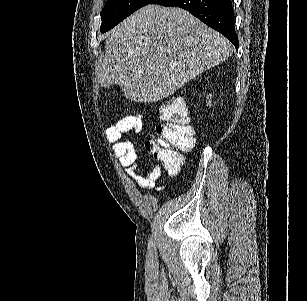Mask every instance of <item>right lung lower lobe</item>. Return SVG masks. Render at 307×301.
I'll return each mask as SVG.
<instances>
[{
  "label": "right lung lower lobe",
  "instance_id": "1",
  "mask_svg": "<svg viewBox=\"0 0 307 301\" xmlns=\"http://www.w3.org/2000/svg\"><path fill=\"white\" fill-rule=\"evenodd\" d=\"M151 4L180 7L229 39L238 49L231 0H154Z\"/></svg>",
  "mask_w": 307,
  "mask_h": 301
}]
</instances>
